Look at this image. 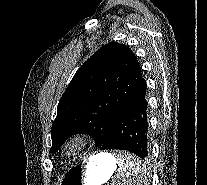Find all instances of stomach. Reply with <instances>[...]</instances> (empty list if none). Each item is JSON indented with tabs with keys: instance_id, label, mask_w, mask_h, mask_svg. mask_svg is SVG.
I'll return each instance as SVG.
<instances>
[{
	"instance_id": "stomach-1",
	"label": "stomach",
	"mask_w": 207,
	"mask_h": 185,
	"mask_svg": "<svg viewBox=\"0 0 207 185\" xmlns=\"http://www.w3.org/2000/svg\"><path fill=\"white\" fill-rule=\"evenodd\" d=\"M116 169L117 161L112 154L99 153L71 167L59 185H103Z\"/></svg>"
}]
</instances>
